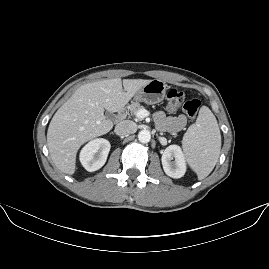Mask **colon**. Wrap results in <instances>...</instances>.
<instances>
[{
	"instance_id": "colon-1",
	"label": "colon",
	"mask_w": 269,
	"mask_h": 269,
	"mask_svg": "<svg viewBox=\"0 0 269 269\" xmlns=\"http://www.w3.org/2000/svg\"><path fill=\"white\" fill-rule=\"evenodd\" d=\"M167 109L171 112L179 110L185 111L190 119H196L201 106V102L197 98L185 99L182 90L171 88L166 95Z\"/></svg>"
}]
</instances>
